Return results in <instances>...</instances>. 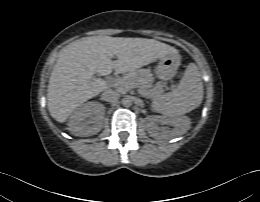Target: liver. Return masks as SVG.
Returning a JSON list of instances; mask_svg holds the SVG:
<instances>
[{
    "mask_svg": "<svg viewBox=\"0 0 260 202\" xmlns=\"http://www.w3.org/2000/svg\"><path fill=\"white\" fill-rule=\"evenodd\" d=\"M176 50L145 38L91 36L68 44L52 70L47 101L50 115L63 123L83 102L107 88V82L93 74L108 75L134 71ZM117 56V60L111 58Z\"/></svg>",
    "mask_w": 260,
    "mask_h": 202,
    "instance_id": "6515ba94",
    "label": "liver"
}]
</instances>
